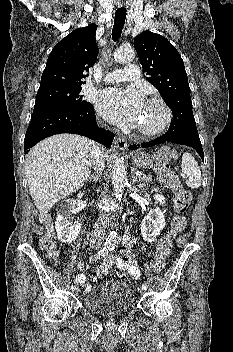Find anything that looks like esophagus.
I'll return each instance as SVG.
<instances>
[{"instance_id":"34e87169","label":"esophagus","mask_w":233,"mask_h":352,"mask_svg":"<svg viewBox=\"0 0 233 352\" xmlns=\"http://www.w3.org/2000/svg\"><path fill=\"white\" fill-rule=\"evenodd\" d=\"M115 144L120 150H125L127 147V142L123 137H117L115 140Z\"/></svg>"}]
</instances>
